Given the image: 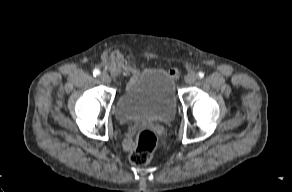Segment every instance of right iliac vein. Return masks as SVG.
Listing matches in <instances>:
<instances>
[{"label": "right iliac vein", "mask_w": 292, "mask_h": 192, "mask_svg": "<svg viewBox=\"0 0 292 192\" xmlns=\"http://www.w3.org/2000/svg\"><path fill=\"white\" fill-rule=\"evenodd\" d=\"M100 80H101L103 83H105V84H109L110 81H111L110 77H109L108 74H106V73H102V74L100 75Z\"/></svg>", "instance_id": "obj_1"}]
</instances>
